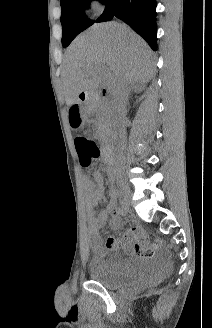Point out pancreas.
Here are the masks:
<instances>
[{
  "label": "pancreas",
  "instance_id": "pancreas-1",
  "mask_svg": "<svg viewBox=\"0 0 212 328\" xmlns=\"http://www.w3.org/2000/svg\"><path fill=\"white\" fill-rule=\"evenodd\" d=\"M93 109L96 115L97 135L100 139L106 140L112 133L109 106L108 104L99 101L93 104Z\"/></svg>",
  "mask_w": 212,
  "mask_h": 328
}]
</instances>
